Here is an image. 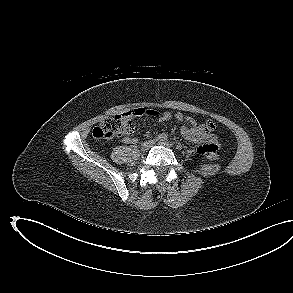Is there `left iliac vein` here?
Returning a JSON list of instances; mask_svg holds the SVG:
<instances>
[{
    "mask_svg": "<svg viewBox=\"0 0 293 293\" xmlns=\"http://www.w3.org/2000/svg\"><path fill=\"white\" fill-rule=\"evenodd\" d=\"M159 145L164 146V147H167V148H171L172 147V145L169 142H167V141H159Z\"/></svg>",
    "mask_w": 293,
    "mask_h": 293,
    "instance_id": "left-iliac-vein-1",
    "label": "left iliac vein"
}]
</instances>
